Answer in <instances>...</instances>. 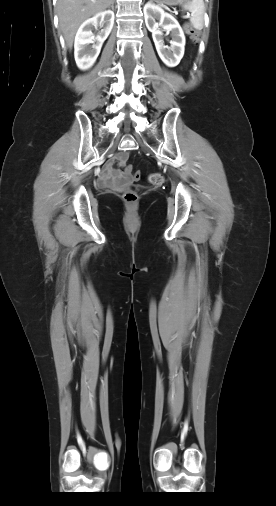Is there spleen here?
<instances>
[{"label":"spleen","instance_id":"spleen-1","mask_svg":"<svg viewBox=\"0 0 276 506\" xmlns=\"http://www.w3.org/2000/svg\"><path fill=\"white\" fill-rule=\"evenodd\" d=\"M185 10L191 13L190 22L197 30L204 27V2L203 0H191L184 6Z\"/></svg>","mask_w":276,"mask_h":506}]
</instances>
